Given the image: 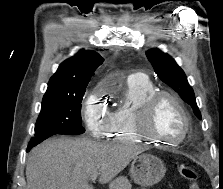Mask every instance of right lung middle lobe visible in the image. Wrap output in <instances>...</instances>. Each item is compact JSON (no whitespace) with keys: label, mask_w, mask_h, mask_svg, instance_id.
<instances>
[{"label":"right lung middle lobe","mask_w":223,"mask_h":189,"mask_svg":"<svg viewBox=\"0 0 223 189\" xmlns=\"http://www.w3.org/2000/svg\"><path fill=\"white\" fill-rule=\"evenodd\" d=\"M85 91L83 88L70 94H45L35 125V137L84 133L80 111Z\"/></svg>","instance_id":"1"}]
</instances>
